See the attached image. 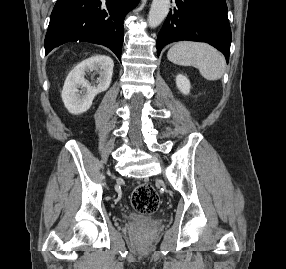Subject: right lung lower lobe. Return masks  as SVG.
I'll return each mask as SVG.
<instances>
[{"mask_svg":"<svg viewBox=\"0 0 286 269\" xmlns=\"http://www.w3.org/2000/svg\"><path fill=\"white\" fill-rule=\"evenodd\" d=\"M139 0H57L45 37V55L69 41L110 48L121 59L123 20Z\"/></svg>","mask_w":286,"mask_h":269,"instance_id":"obj_1","label":"right lung lower lobe"}]
</instances>
